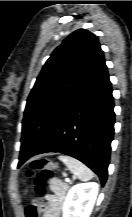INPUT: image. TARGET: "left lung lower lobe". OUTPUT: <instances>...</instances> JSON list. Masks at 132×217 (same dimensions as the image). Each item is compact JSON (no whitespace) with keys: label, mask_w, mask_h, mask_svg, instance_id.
I'll list each match as a JSON object with an SVG mask.
<instances>
[{"label":"left lung lower lobe","mask_w":132,"mask_h":217,"mask_svg":"<svg viewBox=\"0 0 132 217\" xmlns=\"http://www.w3.org/2000/svg\"><path fill=\"white\" fill-rule=\"evenodd\" d=\"M113 108L112 87L104 62L33 152H28L21 142L18 167L34 155L60 152L86 164L104 185L114 133Z\"/></svg>","instance_id":"0a47b994"}]
</instances>
